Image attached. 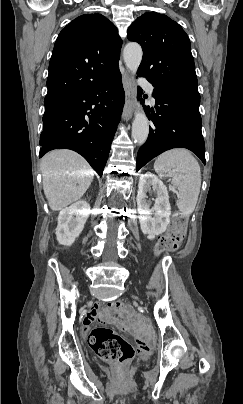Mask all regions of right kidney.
<instances>
[{
  "instance_id": "right-kidney-1",
  "label": "right kidney",
  "mask_w": 243,
  "mask_h": 404,
  "mask_svg": "<svg viewBox=\"0 0 243 404\" xmlns=\"http://www.w3.org/2000/svg\"><path fill=\"white\" fill-rule=\"evenodd\" d=\"M88 216L84 202H75L69 208L61 210L55 232L59 244L72 246L75 238H78L79 234H81Z\"/></svg>"
}]
</instances>
